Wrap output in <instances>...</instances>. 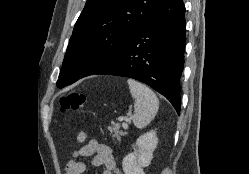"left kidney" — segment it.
<instances>
[{"label":"left kidney","mask_w":249,"mask_h":174,"mask_svg":"<svg viewBox=\"0 0 249 174\" xmlns=\"http://www.w3.org/2000/svg\"><path fill=\"white\" fill-rule=\"evenodd\" d=\"M156 131L141 135L135 144L137 153H129L123 158V171L125 174H145L143 167L149 166L153 158V152L157 146Z\"/></svg>","instance_id":"obj_1"}]
</instances>
